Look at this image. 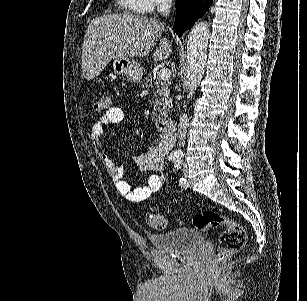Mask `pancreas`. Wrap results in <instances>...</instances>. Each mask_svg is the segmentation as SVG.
Here are the masks:
<instances>
[{
  "mask_svg": "<svg viewBox=\"0 0 307 301\" xmlns=\"http://www.w3.org/2000/svg\"><path fill=\"white\" fill-rule=\"evenodd\" d=\"M142 86H146V88H148V90L153 94L154 116H167L170 110L172 98L166 80H160V78H157L155 74L148 72L147 76H144Z\"/></svg>",
  "mask_w": 307,
  "mask_h": 301,
  "instance_id": "1",
  "label": "pancreas"
}]
</instances>
